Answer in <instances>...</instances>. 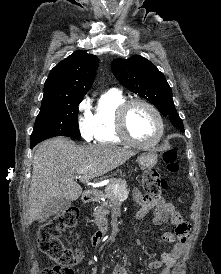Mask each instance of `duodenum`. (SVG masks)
I'll return each instance as SVG.
<instances>
[{"label": "duodenum", "mask_w": 221, "mask_h": 274, "mask_svg": "<svg viewBox=\"0 0 221 274\" xmlns=\"http://www.w3.org/2000/svg\"><path fill=\"white\" fill-rule=\"evenodd\" d=\"M95 196H96V190L88 189L83 192L82 200L83 202L87 203V202H90ZM105 235H106V231L104 229L97 231L91 237V244L93 246H97L104 239Z\"/></svg>", "instance_id": "obj_1"}]
</instances>
